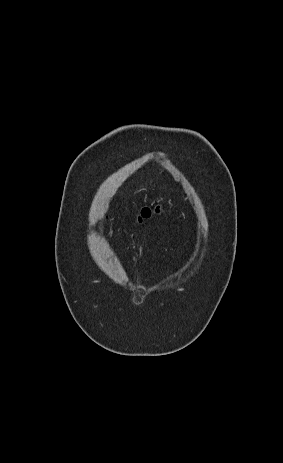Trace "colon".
<instances>
[{
  "label": "colon",
  "instance_id": "5ec220e1",
  "mask_svg": "<svg viewBox=\"0 0 283 463\" xmlns=\"http://www.w3.org/2000/svg\"><path fill=\"white\" fill-rule=\"evenodd\" d=\"M150 214H151V210L148 209V208L144 209L143 212H142V216H143V217H147V216H149Z\"/></svg>",
  "mask_w": 283,
  "mask_h": 463
}]
</instances>
